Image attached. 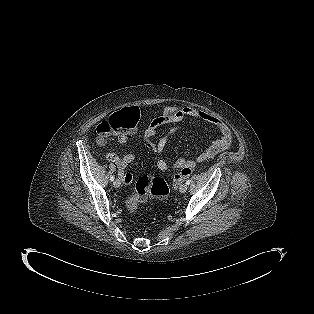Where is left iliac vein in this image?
Listing matches in <instances>:
<instances>
[{
  "label": "left iliac vein",
  "mask_w": 314,
  "mask_h": 314,
  "mask_svg": "<svg viewBox=\"0 0 314 314\" xmlns=\"http://www.w3.org/2000/svg\"><path fill=\"white\" fill-rule=\"evenodd\" d=\"M187 189H188V185H187V184H182V185L180 186V188H179V191H180L181 193H185V192L187 191Z\"/></svg>",
  "instance_id": "obj_1"
}]
</instances>
